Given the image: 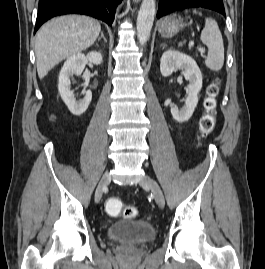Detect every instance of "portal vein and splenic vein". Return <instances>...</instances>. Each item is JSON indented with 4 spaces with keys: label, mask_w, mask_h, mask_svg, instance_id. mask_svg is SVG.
I'll list each match as a JSON object with an SVG mask.
<instances>
[{
    "label": "portal vein and splenic vein",
    "mask_w": 265,
    "mask_h": 269,
    "mask_svg": "<svg viewBox=\"0 0 265 269\" xmlns=\"http://www.w3.org/2000/svg\"><path fill=\"white\" fill-rule=\"evenodd\" d=\"M189 48L193 47L194 46V42H189L188 44ZM201 53H204L205 52V48L201 47L198 49Z\"/></svg>",
    "instance_id": "1"
}]
</instances>
